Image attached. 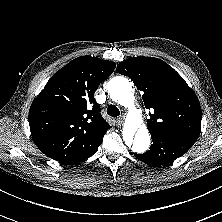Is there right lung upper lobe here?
Wrapping results in <instances>:
<instances>
[{
    "label": "right lung upper lobe",
    "mask_w": 222,
    "mask_h": 222,
    "mask_svg": "<svg viewBox=\"0 0 222 222\" xmlns=\"http://www.w3.org/2000/svg\"><path fill=\"white\" fill-rule=\"evenodd\" d=\"M115 66L82 56L49 79L29 111L32 138L44 154L62 164H77L98 150L111 126L100 114L94 93Z\"/></svg>",
    "instance_id": "obj_1"
}]
</instances>
